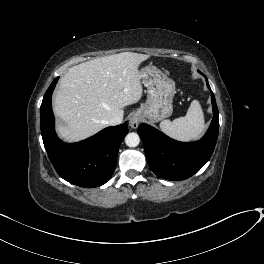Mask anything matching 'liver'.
Here are the masks:
<instances>
[{
	"label": "liver",
	"mask_w": 264,
	"mask_h": 264,
	"mask_svg": "<svg viewBox=\"0 0 264 264\" xmlns=\"http://www.w3.org/2000/svg\"><path fill=\"white\" fill-rule=\"evenodd\" d=\"M150 56L123 52L81 63L61 77L53 109L64 124L56 131L66 142L84 140L108 125L124 107L142 97L139 65Z\"/></svg>",
	"instance_id": "6515ba94"
}]
</instances>
